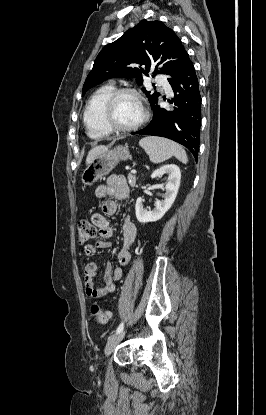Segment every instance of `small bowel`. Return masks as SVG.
<instances>
[{"label": "small bowel", "instance_id": "small-bowel-1", "mask_svg": "<svg viewBox=\"0 0 266 415\" xmlns=\"http://www.w3.org/2000/svg\"><path fill=\"white\" fill-rule=\"evenodd\" d=\"M129 194V188L126 179L121 176H111L106 183L99 185L95 189V195L98 198L114 197L117 200H125ZM118 211V203L114 200H107L102 204V213H95L92 216V223L98 229L99 235L108 239L113 236V229L108 221L109 216H113ZM123 246L118 253L119 267H113L107 263L104 274V284L96 287L94 277L97 272L95 262H89L84 267V285L85 293L90 299L101 298L109 293H113L117 288V281L123 276V266H126L130 260V246L134 242L137 235V228L128 216L123 218ZM110 243L101 240L96 244H88L84 246L83 252L85 256L93 255L98 248H108Z\"/></svg>", "mask_w": 266, "mask_h": 415}]
</instances>
